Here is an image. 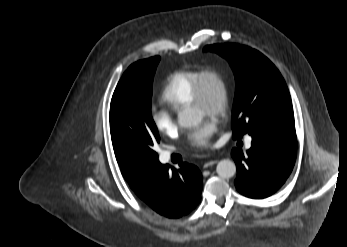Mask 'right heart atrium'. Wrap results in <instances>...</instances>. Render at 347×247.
Masks as SVG:
<instances>
[{"mask_svg":"<svg viewBox=\"0 0 347 247\" xmlns=\"http://www.w3.org/2000/svg\"><path fill=\"white\" fill-rule=\"evenodd\" d=\"M150 118L155 129L161 134L170 136L176 132V122L167 110L153 109Z\"/></svg>","mask_w":347,"mask_h":247,"instance_id":"obj_1","label":"right heart atrium"}]
</instances>
